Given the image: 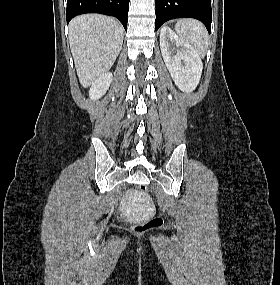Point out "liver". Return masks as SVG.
Segmentation results:
<instances>
[{"label":"liver","mask_w":280,"mask_h":285,"mask_svg":"<svg viewBox=\"0 0 280 285\" xmlns=\"http://www.w3.org/2000/svg\"><path fill=\"white\" fill-rule=\"evenodd\" d=\"M123 28L99 14L77 16L69 24V41L83 87L93 84L114 64L123 44Z\"/></svg>","instance_id":"6515ba94"}]
</instances>
